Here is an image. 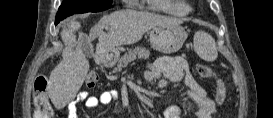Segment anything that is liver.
<instances>
[{"label": "liver", "mask_w": 273, "mask_h": 118, "mask_svg": "<svg viewBox=\"0 0 273 118\" xmlns=\"http://www.w3.org/2000/svg\"><path fill=\"white\" fill-rule=\"evenodd\" d=\"M181 23L180 20L149 12L120 10L103 16L91 28L89 36L83 40L80 34L76 40L75 33L81 28V24L74 20L69 21L61 31L65 46L62 61L51 72L47 84L49 98L57 109H61L76 97L89 70V61L82 50L84 41L90 44L98 37L99 48L114 49L138 42L145 32L155 26ZM104 29L108 33H103Z\"/></svg>", "instance_id": "6515ba94"}]
</instances>
